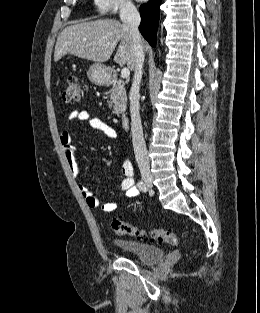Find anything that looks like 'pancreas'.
Listing matches in <instances>:
<instances>
[{
    "mask_svg": "<svg viewBox=\"0 0 260 313\" xmlns=\"http://www.w3.org/2000/svg\"><path fill=\"white\" fill-rule=\"evenodd\" d=\"M124 86L125 83L118 80L109 90L110 100L108 105L113 108V113L118 116L126 110L127 95Z\"/></svg>",
    "mask_w": 260,
    "mask_h": 313,
    "instance_id": "obj_1",
    "label": "pancreas"
}]
</instances>
